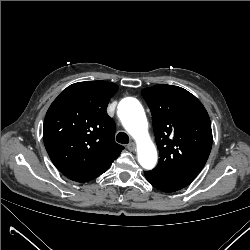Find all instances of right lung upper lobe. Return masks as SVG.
Instances as JSON below:
<instances>
[{
  "instance_id": "obj_1",
  "label": "right lung upper lobe",
  "mask_w": 250,
  "mask_h": 250,
  "mask_svg": "<svg viewBox=\"0 0 250 250\" xmlns=\"http://www.w3.org/2000/svg\"><path fill=\"white\" fill-rule=\"evenodd\" d=\"M117 90L116 84L102 80L79 82L49 107L43 127L45 148L68 178L110 166L124 149L114 140L116 126L106 112Z\"/></svg>"
}]
</instances>
